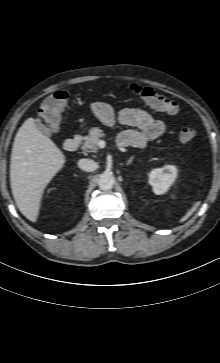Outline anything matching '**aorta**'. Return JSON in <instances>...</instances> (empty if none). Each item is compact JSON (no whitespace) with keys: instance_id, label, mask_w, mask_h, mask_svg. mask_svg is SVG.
<instances>
[{"instance_id":"obj_1","label":"aorta","mask_w":220,"mask_h":363,"mask_svg":"<svg viewBox=\"0 0 220 363\" xmlns=\"http://www.w3.org/2000/svg\"><path fill=\"white\" fill-rule=\"evenodd\" d=\"M115 184V178L110 172H104L98 179V185L102 190H110Z\"/></svg>"}]
</instances>
